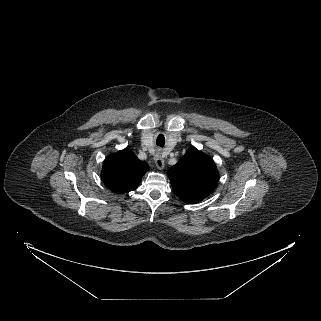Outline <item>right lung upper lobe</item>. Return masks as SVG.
<instances>
[{
    "mask_svg": "<svg viewBox=\"0 0 321 321\" xmlns=\"http://www.w3.org/2000/svg\"><path fill=\"white\" fill-rule=\"evenodd\" d=\"M148 169L147 163L140 161L131 150L124 149L104 160L101 177L110 190L123 194L135 190Z\"/></svg>",
    "mask_w": 321,
    "mask_h": 321,
    "instance_id": "obj_1",
    "label": "right lung upper lobe"
}]
</instances>
